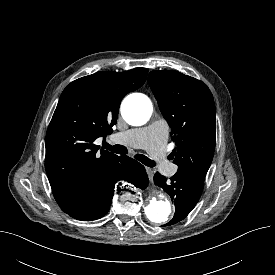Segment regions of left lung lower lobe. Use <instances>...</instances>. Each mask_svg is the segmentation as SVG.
I'll return each mask as SVG.
<instances>
[{"instance_id":"1","label":"left lung lower lobe","mask_w":275,"mask_h":275,"mask_svg":"<svg viewBox=\"0 0 275 275\" xmlns=\"http://www.w3.org/2000/svg\"><path fill=\"white\" fill-rule=\"evenodd\" d=\"M154 182L170 195L175 205L174 217L166 225H173L183 220L199 201L204 187L203 180L180 173H176L167 180L166 177L156 172Z\"/></svg>"}]
</instances>
